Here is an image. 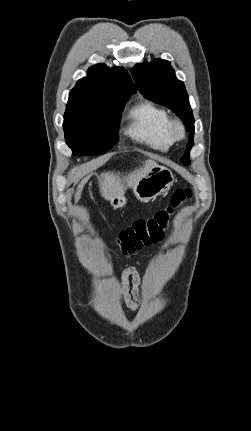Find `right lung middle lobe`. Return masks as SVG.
<instances>
[{"label":"right lung middle lobe","instance_id":"1","mask_svg":"<svg viewBox=\"0 0 251 431\" xmlns=\"http://www.w3.org/2000/svg\"><path fill=\"white\" fill-rule=\"evenodd\" d=\"M127 101L71 91L63 128L73 155H99L115 145L121 112Z\"/></svg>","mask_w":251,"mask_h":431}]
</instances>
